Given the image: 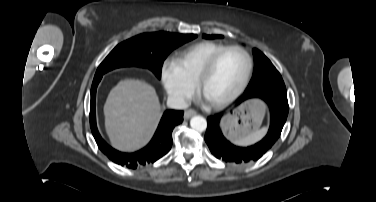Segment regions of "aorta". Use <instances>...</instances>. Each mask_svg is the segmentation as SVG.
Listing matches in <instances>:
<instances>
[{"instance_id":"aorta-1","label":"aorta","mask_w":376,"mask_h":202,"mask_svg":"<svg viewBox=\"0 0 376 202\" xmlns=\"http://www.w3.org/2000/svg\"><path fill=\"white\" fill-rule=\"evenodd\" d=\"M190 126L195 131L203 132L207 128V121L204 117L197 115L191 118Z\"/></svg>"}]
</instances>
